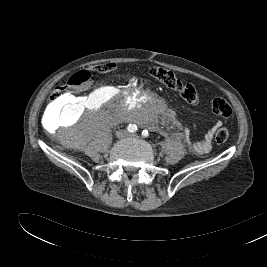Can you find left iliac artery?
Listing matches in <instances>:
<instances>
[{"label": "left iliac artery", "instance_id": "1", "mask_svg": "<svg viewBox=\"0 0 267 267\" xmlns=\"http://www.w3.org/2000/svg\"><path fill=\"white\" fill-rule=\"evenodd\" d=\"M149 135H150V134H149V131H148V130H143V131H142V136H143V137L147 138V137H149Z\"/></svg>", "mask_w": 267, "mask_h": 267}]
</instances>
